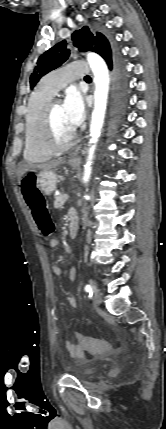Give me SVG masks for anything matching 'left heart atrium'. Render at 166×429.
<instances>
[{
    "label": "left heart atrium",
    "instance_id": "39dd6f15",
    "mask_svg": "<svg viewBox=\"0 0 166 429\" xmlns=\"http://www.w3.org/2000/svg\"><path fill=\"white\" fill-rule=\"evenodd\" d=\"M69 125L74 129L81 124L85 116L82 95L75 90L69 91L62 104Z\"/></svg>",
    "mask_w": 166,
    "mask_h": 429
}]
</instances>
